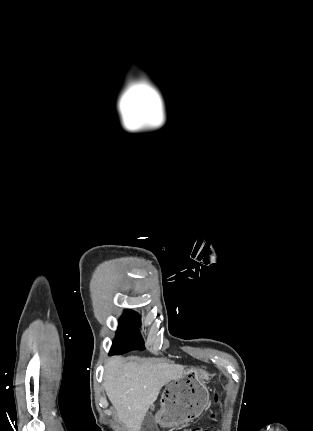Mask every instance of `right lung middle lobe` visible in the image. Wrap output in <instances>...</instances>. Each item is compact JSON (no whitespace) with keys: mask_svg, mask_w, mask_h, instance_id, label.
I'll return each mask as SVG.
<instances>
[{"mask_svg":"<svg viewBox=\"0 0 313 431\" xmlns=\"http://www.w3.org/2000/svg\"><path fill=\"white\" fill-rule=\"evenodd\" d=\"M140 315L132 310H126L119 320L116 337L110 350V355H120L132 350L144 349V341L138 330Z\"/></svg>","mask_w":313,"mask_h":431,"instance_id":"right-lung-middle-lobe-1","label":"right lung middle lobe"}]
</instances>
